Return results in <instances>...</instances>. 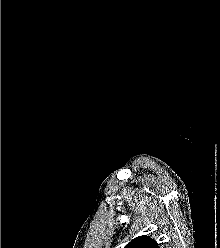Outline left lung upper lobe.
<instances>
[{
	"label": "left lung upper lobe",
	"mask_w": 220,
	"mask_h": 248,
	"mask_svg": "<svg viewBox=\"0 0 220 248\" xmlns=\"http://www.w3.org/2000/svg\"><path fill=\"white\" fill-rule=\"evenodd\" d=\"M124 248H159L157 242L143 235L133 239Z\"/></svg>",
	"instance_id": "5c2ea615"
}]
</instances>
